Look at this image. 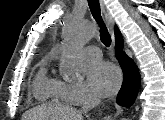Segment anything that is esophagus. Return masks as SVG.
Listing matches in <instances>:
<instances>
[{"instance_id":"34e87169","label":"esophagus","mask_w":165,"mask_h":120,"mask_svg":"<svg viewBox=\"0 0 165 120\" xmlns=\"http://www.w3.org/2000/svg\"><path fill=\"white\" fill-rule=\"evenodd\" d=\"M100 5H101L102 12L105 16L109 31L112 35V38H114V20H113V17L111 15V13L109 12V10L107 9L103 0H100ZM119 112H120V107H117V111L114 114V117H116L119 114ZM104 119H106V120L112 119V116H110V115L105 116Z\"/></svg>"}]
</instances>
